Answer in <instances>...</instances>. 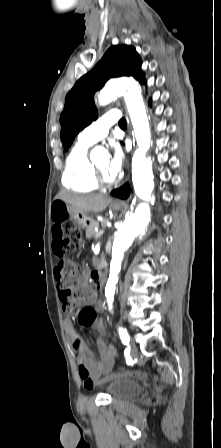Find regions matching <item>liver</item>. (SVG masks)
Listing matches in <instances>:
<instances>
[{
	"instance_id": "obj_1",
	"label": "liver",
	"mask_w": 221,
	"mask_h": 448,
	"mask_svg": "<svg viewBox=\"0 0 221 448\" xmlns=\"http://www.w3.org/2000/svg\"><path fill=\"white\" fill-rule=\"evenodd\" d=\"M55 199L62 200L71 207L85 213H99L104 211L112 199L105 194L78 196L61 192Z\"/></svg>"
}]
</instances>
